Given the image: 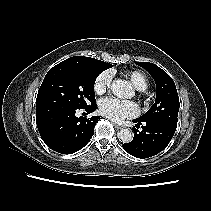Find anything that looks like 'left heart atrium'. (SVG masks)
<instances>
[{
  "instance_id": "39dd6f15",
  "label": "left heart atrium",
  "mask_w": 211,
  "mask_h": 211,
  "mask_svg": "<svg viewBox=\"0 0 211 211\" xmlns=\"http://www.w3.org/2000/svg\"><path fill=\"white\" fill-rule=\"evenodd\" d=\"M99 111L101 115L112 121H121L125 118L136 116L139 109L138 106L132 101L108 97L100 100Z\"/></svg>"
}]
</instances>
